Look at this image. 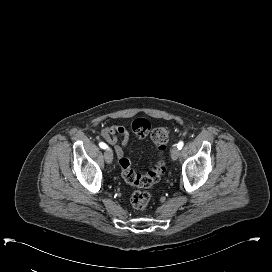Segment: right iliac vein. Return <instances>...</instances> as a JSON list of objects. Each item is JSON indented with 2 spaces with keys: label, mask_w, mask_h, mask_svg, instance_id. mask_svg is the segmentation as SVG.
<instances>
[{
  "label": "right iliac vein",
  "mask_w": 272,
  "mask_h": 272,
  "mask_svg": "<svg viewBox=\"0 0 272 272\" xmlns=\"http://www.w3.org/2000/svg\"><path fill=\"white\" fill-rule=\"evenodd\" d=\"M104 158H105V161L108 164L112 163V161H113V154H112L111 150H109V149L105 150V152H104Z\"/></svg>",
  "instance_id": "obj_1"
}]
</instances>
